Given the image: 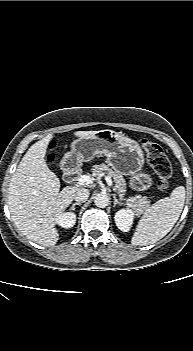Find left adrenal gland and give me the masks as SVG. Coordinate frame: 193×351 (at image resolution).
Listing matches in <instances>:
<instances>
[{"mask_svg": "<svg viewBox=\"0 0 193 351\" xmlns=\"http://www.w3.org/2000/svg\"><path fill=\"white\" fill-rule=\"evenodd\" d=\"M113 196V199H114V203H113V206L115 207L117 204H122L121 201H119L117 198H116V195L115 194H112Z\"/></svg>", "mask_w": 193, "mask_h": 351, "instance_id": "obj_1", "label": "left adrenal gland"}]
</instances>
